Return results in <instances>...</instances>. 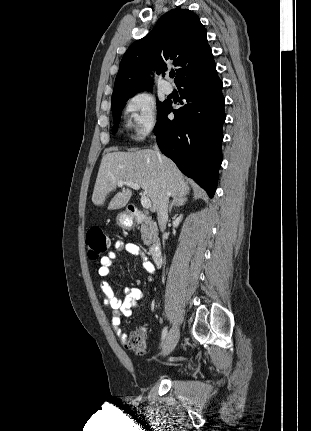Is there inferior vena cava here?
<instances>
[{
  "mask_svg": "<svg viewBox=\"0 0 311 431\" xmlns=\"http://www.w3.org/2000/svg\"><path fill=\"white\" fill-rule=\"evenodd\" d=\"M154 150L161 162L162 160V156L159 152V148L157 146V144H155L154 146ZM166 176L163 172L162 174V178H161V192L158 196V200H159V204L157 206V219H158V223H159V227L161 229V231H165L166 229V221L168 219V202H169V192H167V186H166V180H165Z\"/></svg>",
  "mask_w": 311,
  "mask_h": 431,
  "instance_id": "602c4592",
  "label": "inferior vena cava"
}]
</instances>
